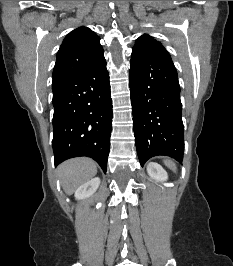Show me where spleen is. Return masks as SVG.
<instances>
[{"instance_id": "spleen-1", "label": "spleen", "mask_w": 233, "mask_h": 266, "mask_svg": "<svg viewBox=\"0 0 233 266\" xmlns=\"http://www.w3.org/2000/svg\"><path fill=\"white\" fill-rule=\"evenodd\" d=\"M166 165L168 167H170L171 169L175 170V166L172 163H170L169 161H166Z\"/></svg>"}]
</instances>
